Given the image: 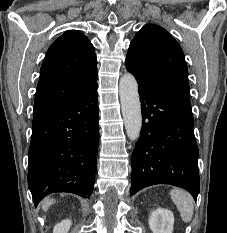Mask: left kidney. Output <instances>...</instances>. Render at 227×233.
<instances>
[{
    "mask_svg": "<svg viewBox=\"0 0 227 233\" xmlns=\"http://www.w3.org/2000/svg\"><path fill=\"white\" fill-rule=\"evenodd\" d=\"M173 225L174 215L168 209L158 208L149 217V226L153 233H172Z\"/></svg>",
    "mask_w": 227,
    "mask_h": 233,
    "instance_id": "1",
    "label": "left kidney"
}]
</instances>
